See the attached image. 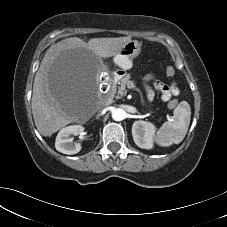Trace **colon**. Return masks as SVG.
I'll return each mask as SVG.
<instances>
[{
    "mask_svg": "<svg viewBox=\"0 0 227 227\" xmlns=\"http://www.w3.org/2000/svg\"><path fill=\"white\" fill-rule=\"evenodd\" d=\"M166 73H167V75L172 76V75L175 74V70L173 69V67H167L166 68ZM177 103H178L177 100H175V99L174 100H171L169 102V107L170 108H174L177 105Z\"/></svg>",
    "mask_w": 227,
    "mask_h": 227,
    "instance_id": "1",
    "label": "colon"
}]
</instances>
